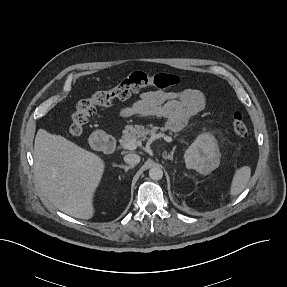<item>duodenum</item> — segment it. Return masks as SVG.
I'll use <instances>...</instances> for the list:
<instances>
[{
    "mask_svg": "<svg viewBox=\"0 0 287 287\" xmlns=\"http://www.w3.org/2000/svg\"><path fill=\"white\" fill-rule=\"evenodd\" d=\"M91 143L102 151L113 153L117 147V141L111 135L103 132H96L91 136Z\"/></svg>",
    "mask_w": 287,
    "mask_h": 287,
    "instance_id": "1",
    "label": "duodenum"
}]
</instances>
